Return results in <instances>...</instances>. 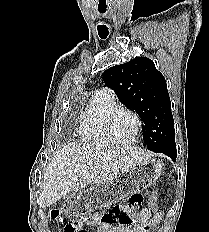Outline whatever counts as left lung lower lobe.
<instances>
[{
  "label": "left lung lower lobe",
  "mask_w": 209,
  "mask_h": 232,
  "mask_svg": "<svg viewBox=\"0 0 209 232\" xmlns=\"http://www.w3.org/2000/svg\"><path fill=\"white\" fill-rule=\"evenodd\" d=\"M168 155L171 156L172 160L175 161L176 156H177V151H176V144L172 145L168 151H167Z\"/></svg>",
  "instance_id": "obj_1"
}]
</instances>
